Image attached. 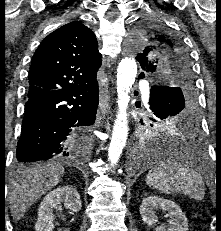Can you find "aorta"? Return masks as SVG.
I'll return each mask as SVG.
<instances>
[{
    "label": "aorta",
    "mask_w": 221,
    "mask_h": 231,
    "mask_svg": "<svg viewBox=\"0 0 221 231\" xmlns=\"http://www.w3.org/2000/svg\"><path fill=\"white\" fill-rule=\"evenodd\" d=\"M136 75L137 65L135 60L131 57L122 59L117 68L118 113L108 148V160L111 166L118 163L127 142L129 130L127 109L130 101V91Z\"/></svg>",
    "instance_id": "1"
}]
</instances>
